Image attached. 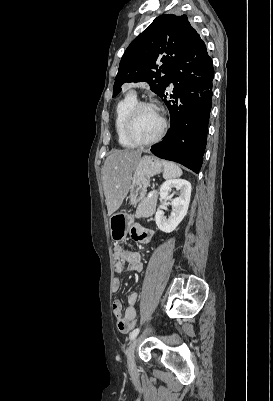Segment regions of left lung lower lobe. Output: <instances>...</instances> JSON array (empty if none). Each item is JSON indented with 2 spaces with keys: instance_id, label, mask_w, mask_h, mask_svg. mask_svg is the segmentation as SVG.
<instances>
[{
  "instance_id": "obj_1",
  "label": "left lung lower lobe",
  "mask_w": 273,
  "mask_h": 401,
  "mask_svg": "<svg viewBox=\"0 0 273 401\" xmlns=\"http://www.w3.org/2000/svg\"><path fill=\"white\" fill-rule=\"evenodd\" d=\"M214 70L206 45L199 39L175 63L169 84H174L176 101L161 98L170 112V129L151 152L178 162L199 173L207 143V128L212 106ZM168 84V86H169Z\"/></svg>"
}]
</instances>
